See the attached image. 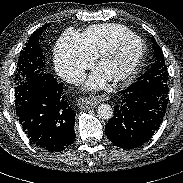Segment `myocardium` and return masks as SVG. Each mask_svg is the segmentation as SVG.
I'll return each instance as SVG.
<instances>
[{
    "mask_svg": "<svg viewBox=\"0 0 183 183\" xmlns=\"http://www.w3.org/2000/svg\"><path fill=\"white\" fill-rule=\"evenodd\" d=\"M131 42H136L139 44L140 46L139 52L134 61L132 62V64L128 68H126L121 73L115 74L109 78V80L113 83L125 82L132 79L135 76L145 56L146 48L144 42L142 41L141 38L135 35L127 37L116 42L112 47L104 51L98 57L97 68L101 69L111 58L115 57L119 53V51L123 48V46Z\"/></svg>",
    "mask_w": 183,
    "mask_h": 183,
    "instance_id": "1",
    "label": "myocardium"
}]
</instances>
